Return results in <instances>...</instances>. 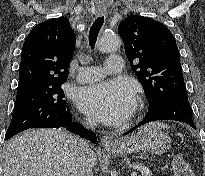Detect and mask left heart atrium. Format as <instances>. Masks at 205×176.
Masks as SVG:
<instances>
[{"label": "left heart atrium", "instance_id": "39dd6f15", "mask_svg": "<svg viewBox=\"0 0 205 176\" xmlns=\"http://www.w3.org/2000/svg\"><path fill=\"white\" fill-rule=\"evenodd\" d=\"M136 100L134 86L124 79L92 84L81 88L77 94L79 108L107 124L124 121L135 109Z\"/></svg>", "mask_w": 205, "mask_h": 176}]
</instances>
